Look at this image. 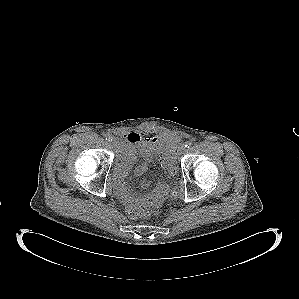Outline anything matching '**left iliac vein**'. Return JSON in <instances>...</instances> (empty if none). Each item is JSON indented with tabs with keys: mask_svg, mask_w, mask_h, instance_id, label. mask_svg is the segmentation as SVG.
I'll return each instance as SVG.
<instances>
[{
	"mask_svg": "<svg viewBox=\"0 0 299 299\" xmlns=\"http://www.w3.org/2000/svg\"><path fill=\"white\" fill-rule=\"evenodd\" d=\"M187 148L185 147V144H181L178 148V154L182 155L186 152Z\"/></svg>",
	"mask_w": 299,
	"mask_h": 299,
	"instance_id": "obj_1",
	"label": "left iliac vein"
}]
</instances>
